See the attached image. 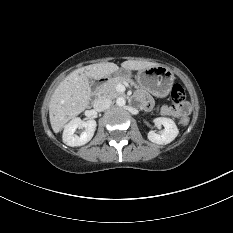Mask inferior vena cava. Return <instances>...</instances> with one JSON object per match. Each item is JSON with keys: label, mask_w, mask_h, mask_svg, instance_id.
<instances>
[{"label": "inferior vena cava", "mask_w": 233, "mask_h": 233, "mask_svg": "<svg viewBox=\"0 0 233 233\" xmlns=\"http://www.w3.org/2000/svg\"><path fill=\"white\" fill-rule=\"evenodd\" d=\"M112 104V101L107 98H100L95 100L93 107L96 111L101 112L108 109Z\"/></svg>", "instance_id": "602c4592"}]
</instances>
